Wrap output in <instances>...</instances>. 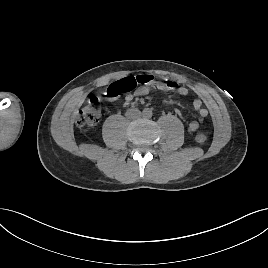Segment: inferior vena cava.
Listing matches in <instances>:
<instances>
[{
  "label": "inferior vena cava",
  "mask_w": 268,
  "mask_h": 268,
  "mask_svg": "<svg viewBox=\"0 0 268 268\" xmlns=\"http://www.w3.org/2000/svg\"><path fill=\"white\" fill-rule=\"evenodd\" d=\"M130 112L128 111L127 115L130 116ZM133 118H139L141 116V112L139 110H133Z\"/></svg>",
  "instance_id": "obj_1"
}]
</instances>
